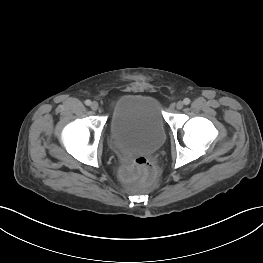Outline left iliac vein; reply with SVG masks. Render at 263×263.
<instances>
[{"mask_svg": "<svg viewBox=\"0 0 263 263\" xmlns=\"http://www.w3.org/2000/svg\"><path fill=\"white\" fill-rule=\"evenodd\" d=\"M183 106H184V103H183L182 101H178V102L176 103V108L179 109V110L182 109Z\"/></svg>", "mask_w": 263, "mask_h": 263, "instance_id": "obj_1", "label": "left iliac vein"}]
</instances>
